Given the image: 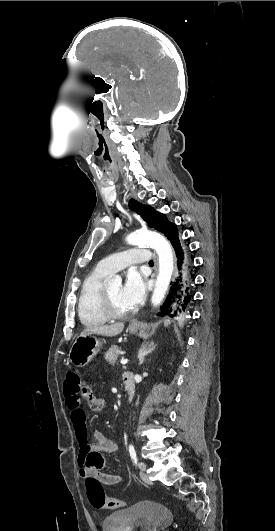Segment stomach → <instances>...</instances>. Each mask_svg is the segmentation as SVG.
Returning <instances> with one entry per match:
<instances>
[{
  "label": "stomach",
  "instance_id": "stomach-1",
  "mask_svg": "<svg viewBox=\"0 0 275 531\" xmlns=\"http://www.w3.org/2000/svg\"><path fill=\"white\" fill-rule=\"evenodd\" d=\"M132 323H137L136 329H133V327H130L129 325V331L132 335H138L141 339H148V337H150L148 325L138 323V321H132ZM170 323L171 321H169V319H165V327H168ZM101 349H103L101 339H98L95 335H82V337L80 335V337L75 339L69 351V361L72 365H75V367H85V365H88V363L92 361L95 355L100 353Z\"/></svg>",
  "mask_w": 275,
  "mask_h": 531
}]
</instances>
